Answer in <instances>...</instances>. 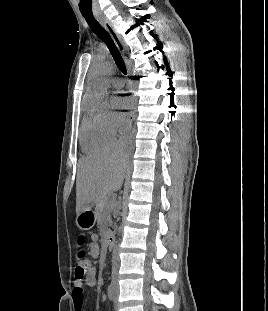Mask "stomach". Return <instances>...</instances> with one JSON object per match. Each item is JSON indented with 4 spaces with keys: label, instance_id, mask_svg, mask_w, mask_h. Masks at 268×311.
<instances>
[{
    "label": "stomach",
    "instance_id": "stomach-1",
    "mask_svg": "<svg viewBox=\"0 0 268 311\" xmlns=\"http://www.w3.org/2000/svg\"><path fill=\"white\" fill-rule=\"evenodd\" d=\"M75 222L79 229L90 230L96 222L95 212L92 210L91 206L77 214Z\"/></svg>",
    "mask_w": 268,
    "mask_h": 311
}]
</instances>
